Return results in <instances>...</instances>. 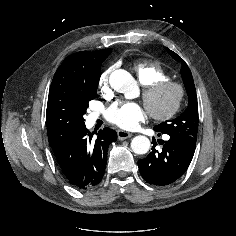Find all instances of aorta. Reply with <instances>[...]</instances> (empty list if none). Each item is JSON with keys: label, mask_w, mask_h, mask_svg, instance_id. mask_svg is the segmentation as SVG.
Here are the masks:
<instances>
[{"label": "aorta", "mask_w": 236, "mask_h": 236, "mask_svg": "<svg viewBox=\"0 0 236 236\" xmlns=\"http://www.w3.org/2000/svg\"><path fill=\"white\" fill-rule=\"evenodd\" d=\"M111 86L123 93L127 99L138 93V85L131 74L125 70H117L111 76ZM131 149L135 154H146L150 149V140L146 136H136L131 141Z\"/></svg>", "instance_id": "obj_1"}]
</instances>
